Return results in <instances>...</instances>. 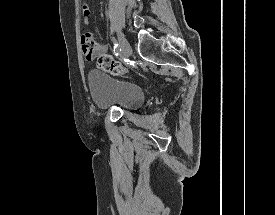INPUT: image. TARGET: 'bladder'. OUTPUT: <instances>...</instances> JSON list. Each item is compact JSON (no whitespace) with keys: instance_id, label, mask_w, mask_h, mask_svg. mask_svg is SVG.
<instances>
[{"instance_id":"1","label":"bladder","mask_w":275,"mask_h":215,"mask_svg":"<svg viewBox=\"0 0 275 215\" xmlns=\"http://www.w3.org/2000/svg\"><path fill=\"white\" fill-rule=\"evenodd\" d=\"M88 84L95 106L98 109L133 110L145 102V91L137 83L118 80L99 70L88 72Z\"/></svg>"}]
</instances>
